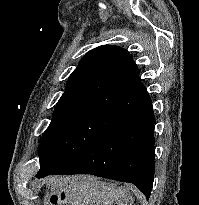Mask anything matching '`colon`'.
Wrapping results in <instances>:
<instances>
[{"mask_svg":"<svg viewBox=\"0 0 199 205\" xmlns=\"http://www.w3.org/2000/svg\"><path fill=\"white\" fill-rule=\"evenodd\" d=\"M51 204H52V205H57L58 203H57L56 200H53Z\"/></svg>","mask_w":199,"mask_h":205,"instance_id":"1","label":"colon"}]
</instances>
